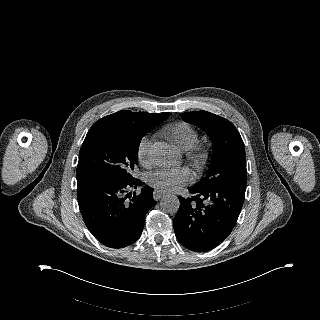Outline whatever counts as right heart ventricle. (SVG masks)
<instances>
[{
	"label": "right heart ventricle",
	"instance_id": "1",
	"mask_svg": "<svg viewBox=\"0 0 320 320\" xmlns=\"http://www.w3.org/2000/svg\"><path fill=\"white\" fill-rule=\"evenodd\" d=\"M174 145L181 151H188L198 141V133L186 122H176L164 129Z\"/></svg>",
	"mask_w": 320,
	"mask_h": 320
}]
</instances>
